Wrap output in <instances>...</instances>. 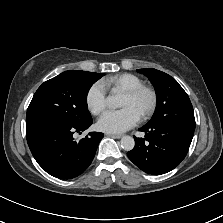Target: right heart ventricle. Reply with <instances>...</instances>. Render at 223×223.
I'll use <instances>...</instances> for the list:
<instances>
[{
	"label": "right heart ventricle",
	"mask_w": 223,
	"mask_h": 223,
	"mask_svg": "<svg viewBox=\"0 0 223 223\" xmlns=\"http://www.w3.org/2000/svg\"><path fill=\"white\" fill-rule=\"evenodd\" d=\"M103 83L105 84L106 89L112 88L114 90L115 88H119L124 93L143 85L142 79L130 73H124L109 77L105 79Z\"/></svg>",
	"instance_id": "obj_1"
}]
</instances>
